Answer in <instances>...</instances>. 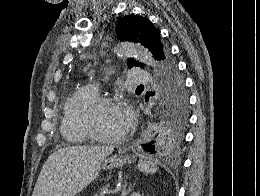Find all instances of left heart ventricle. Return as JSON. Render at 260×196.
Wrapping results in <instances>:
<instances>
[{
	"mask_svg": "<svg viewBox=\"0 0 260 196\" xmlns=\"http://www.w3.org/2000/svg\"><path fill=\"white\" fill-rule=\"evenodd\" d=\"M74 112L79 114L80 121L83 120L86 114V110H74ZM94 126L102 133L119 134L127 126L123 115V105L112 104L102 107L95 115Z\"/></svg>",
	"mask_w": 260,
	"mask_h": 196,
	"instance_id": "obj_1",
	"label": "left heart ventricle"
}]
</instances>
